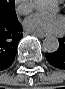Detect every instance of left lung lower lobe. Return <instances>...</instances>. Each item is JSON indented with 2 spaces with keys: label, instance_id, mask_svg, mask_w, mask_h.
I'll list each match as a JSON object with an SVG mask.
<instances>
[{
  "label": "left lung lower lobe",
  "instance_id": "left-lung-lower-lobe-1",
  "mask_svg": "<svg viewBox=\"0 0 65 89\" xmlns=\"http://www.w3.org/2000/svg\"><path fill=\"white\" fill-rule=\"evenodd\" d=\"M48 62L58 69L65 70V37L59 40V49L54 53H46Z\"/></svg>",
  "mask_w": 65,
  "mask_h": 89
}]
</instances>
